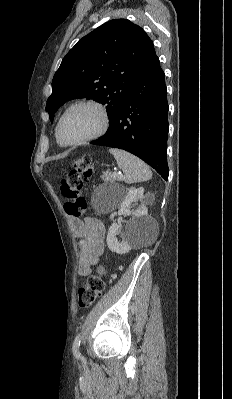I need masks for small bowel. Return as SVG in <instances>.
<instances>
[{
	"mask_svg": "<svg viewBox=\"0 0 232 399\" xmlns=\"http://www.w3.org/2000/svg\"><path fill=\"white\" fill-rule=\"evenodd\" d=\"M74 231L75 236L81 240L83 245L79 252L78 274L81 279H86L101 252L103 224L100 220H86Z\"/></svg>",
	"mask_w": 232,
	"mask_h": 399,
	"instance_id": "small-bowel-1",
	"label": "small bowel"
}]
</instances>
